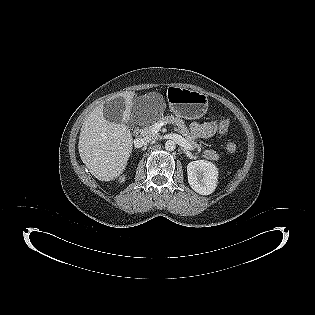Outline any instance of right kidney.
<instances>
[{"mask_svg": "<svg viewBox=\"0 0 315 315\" xmlns=\"http://www.w3.org/2000/svg\"><path fill=\"white\" fill-rule=\"evenodd\" d=\"M120 180H121L120 181L121 183L124 182L125 181V177L121 178Z\"/></svg>", "mask_w": 315, "mask_h": 315, "instance_id": "right-kidney-1", "label": "right kidney"}]
</instances>
